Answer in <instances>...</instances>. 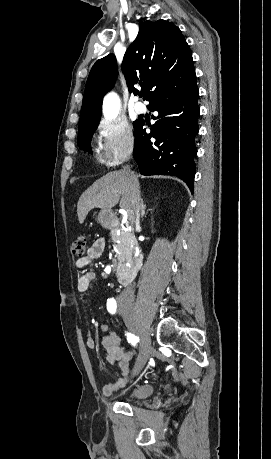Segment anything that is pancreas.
Listing matches in <instances>:
<instances>
[{
    "label": "pancreas",
    "mask_w": 271,
    "mask_h": 459,
    "mask_svg": "<svg viewBox=\"0 0 271 459\" xmlns=\"http://www.w3.org/2000/svg\"><path fill=\"white\" fill-rule=\"evenodd\" d=\"M112 239H116V241H120L117 243L116 249H118V255H122V257L128 256L131 253V239L130 233L121 229L120 233H118V229H111L110 231Z\"/></svg>",
    "instance_id": "cf45deb5"
}]
</instances>
